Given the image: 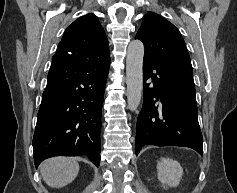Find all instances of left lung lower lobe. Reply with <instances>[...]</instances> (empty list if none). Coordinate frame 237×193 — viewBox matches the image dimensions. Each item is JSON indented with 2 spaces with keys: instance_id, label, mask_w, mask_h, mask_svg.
Returning <instances> with one entry per match:
<instances>
[{
  "instance_id": "0a47b994",
  "label": "left lung lower lobe",
  "mask_w": 237,
  "mask_h": 193,
  "mask_svg": "<svg viewBox=\"0 0 237 193\" xmlns=\"http://www.w3.org/2000/svg\"><path fill=\"white\" fill-rule=\"evenodd\" d=\"M152 79V83H146ZM143 106L136 125V155L144 145L189 147L203 155L193 77L144 58Z\"/></svg>"
}]
</instances>
